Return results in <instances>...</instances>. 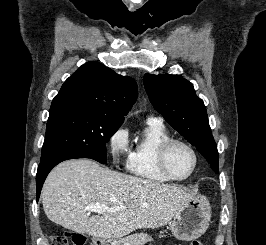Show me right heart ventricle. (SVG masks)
<instances>
[{"mask_svg": "<svg viewBox=\"0 0 266 245\" xmlns=\"http://www.w3.org/2000/svg\"><path fill=\"white\" fill-rule=\"evenodd\" d=\"M171 134L163 122L146 121L144 135L131 148L128 168L132 175L152 185L166 184L169 180L158 165V149Z\"/></svg>", "mask_w": 266, "mask_h": 245, "instance_id": "1", "label": "right heart ventricle"}]
</instances>
